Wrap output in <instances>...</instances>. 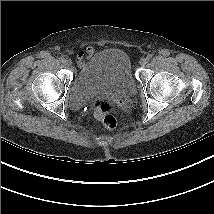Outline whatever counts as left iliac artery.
Here are the masks:
<instances>
[{
  "label": "left iliac artery",
  "instance_id": "obj_1",
  "mask_svg": "<svg viewBox=\"0 0 214 214\" xmlns=\"http://www.w3.org/2000/svg\"><path fill=\"white\" fill-rule=\"evenodd\" d=\"M152 58V55L151 54H148L146 59L150 60Z\"/></svg>",
  "mask_w": 214,
  "mask_h": 214
}]
</instances>
